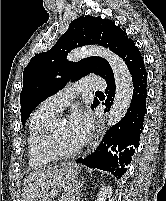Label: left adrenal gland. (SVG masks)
<instances>
[{
    "label": "left adrenal gland",
    "mask_w": 166,
    "mask_h": 201,
    "mask_svg": "<svg viewBox=\"0 0 166 201\" xmlns=\"http://www.w3.org/2000/svg\"><path fill=\"white\" fill-rule=\"evenodd\" d=\"M83 184H84V181H78L77 183H76V192H77V194H78V197H77V201H79L80 200V196H81V188L83 187Z\"/></svg>",
    "instance_id": "obj_1"
}]
</instances>
